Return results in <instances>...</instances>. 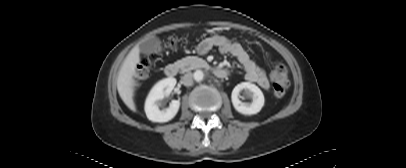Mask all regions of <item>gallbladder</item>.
Segmentation results:
<instances>
[{
	"instance_id": "obj_1",
	"label": "gallbladder",
	"mask_w": 406,
	"mask_h": 168,
	"mask_svg": "<svg viewBox=\"0 0 406 168\" xmlns=\"http://www.w3.org/2000/svg\"><path fill=\"white\" fill-rule=\"evenodd\" d=\"M140 52L143 54L159 53L162 49L161 41L158 37H151L140 44Z\"/></svg>"
}]
</instances>
